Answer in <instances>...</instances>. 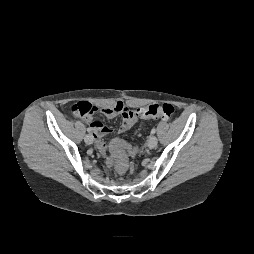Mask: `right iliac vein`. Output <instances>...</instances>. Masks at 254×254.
<instances>
[{
	"label": "right iliac vein",
	"instance_id": "obj_1",
	"mask_svg": "<svg viewBox=\"0 0 254 254\" xmlns=\"http://www.w3.org/2000/svg\"><path fill=\"white\" fill-rule=\"evenodd\" d=\"M84 141L88 145L92 144L94 141L93 136L91 134H87L84 138Z\"/></svg>",
	"mask_w": 254,
	"mask_h": 254
}]
</instances>
